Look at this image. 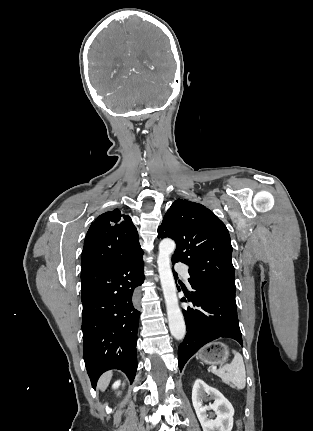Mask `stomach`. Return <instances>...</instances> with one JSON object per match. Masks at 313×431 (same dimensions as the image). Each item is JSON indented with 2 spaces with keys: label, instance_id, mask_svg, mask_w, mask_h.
Here are the masks:
<instances>
[{
  "label": "stomach",
  "instance_id": "stomach-1",
  "mask_svg": "<svg viewBox=\"0 0 313 431\" xmlns=\"http://www.w3.org/2000/svg\"><path fill=\"white\" fill-rule=\"evenodd\" d=\"M229 356L228 347L221 343H215L210 350H204L199 354V359L206 364H223Z\"/></svg>",
  "mask_w": 313,
  "mask_h": 431
}]
</instances>
